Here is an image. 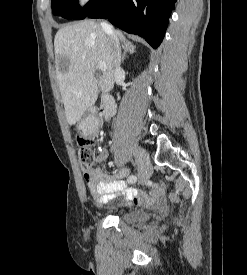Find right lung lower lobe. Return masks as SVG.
<instances>
[{
  "instance_id": "1",
  "label": "right lung lower lobe",
  "mask_w": 247,
  "mask_h": 275,
  "mask_svg": "<svg viewBox=\"0 0 247 275\" xmlns=\"http://www.w3.org/2000/svg\"><path fill=\"white\" fill-rule=\"evenodd\" d=\"M176 0H105L87 17L107 18L113 25L145 38L157 48L163 40Z\"/></svg>"
}]
</instances>
